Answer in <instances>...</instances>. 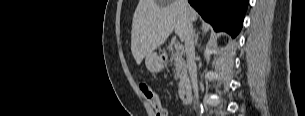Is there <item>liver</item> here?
I'll return each mask as SVG.
<instances>
[{"mask_svg":"<svg viewBox=\"0 0 305 116\" xmlns=\"http://www.w3.org/2000/svg\"><path fill=\"white\" fill-rule=\"evenodd\" d=\"M198 13L191 7L185 10L183 0H140L132 21L131 51L138 65L175 30L185 40L187 19L196 21Z\"/></svg>","mask_w":305,"mask_h":116,"instance_id":"liver-1","label":"liver"}]
</instances>
